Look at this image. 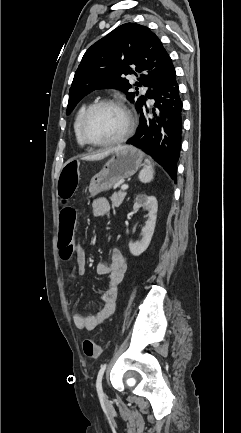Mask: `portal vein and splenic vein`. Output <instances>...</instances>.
<instances>
[{
	"instance_id": "1",
	"label": "portal vein and splenic vein",
	"mask_w": 241,
	"mask_h": 433,
	"mask_svg": "<svg viewBox=\"0 0 241 433\" xmlns=\"http://www.w3.org/2000/svg\"><path fill=\"white\" fill-rule=\"evenodd\" d=\"M127 189H128V185L127 184H124V185L121 186V190L124 191V190H127Z\"/></svg>"
}]
</instances>
